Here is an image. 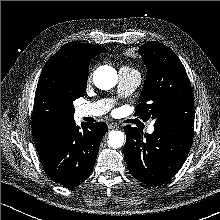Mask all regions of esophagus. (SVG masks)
<instances>
[{
	"label": "esophagus",
	"instance_id": "obj_1",
	"mask_svg": "<svg viewBox=\"0 0 220 220\" xmlns=\"http://www.w3.org/2000/svg\"><path fill=\"white\" fill-rule=\"evenodd\" d=\"M108 128L109 129H115V128H118V125L116 123H109Z\"/></svg>",
	"mask_w": 220,
	"mask_h": 220
}]
</instances>
